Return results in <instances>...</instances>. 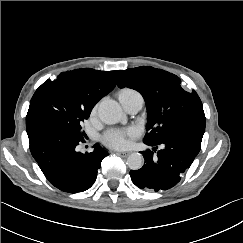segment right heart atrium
I'll list each match as a JSON object with an SVG mask.
<instances>
[{"mask_svg": "<svg viewBox=\"0 0 243 243\" xmlns=\"http://www.w3.org/2000/svg\"><path fill=\"white\" fill-rule=\"evenodd\" d=\"M96 111H97V105L94 106V108H93V110H92V113L94 114Z\"/></svg>", "mask_w": 243, "mask_h": 243, "instance_id": "d8ad5b80", "label": "right heart atrium"}]
</instances>
